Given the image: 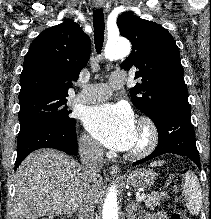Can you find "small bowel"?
I'll return each instance as SVG.
<instances>
[{
    "instance_id": "obj_1",
    "label": "small bowel",
    "mask_w": 211,
    "mask_h": 219,
    "mask_svg": "<svg viewBox=\"0 0 211 219\" xmlns=\"http://www.w3.org/2000/svg\"><path fill=\"white\" fill-rule=\"evenodd\" d=\"M143 219H167V216L164 212H156L154 214L146 215Z\"/></svg>"
}]
</instances>
